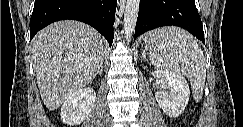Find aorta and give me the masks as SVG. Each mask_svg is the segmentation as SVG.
<instances>
[{
  "label": "aorta",
  "mask_w": 243,
  "mask_h": 127,
  "mask_svg": "<svg viewBox=\"0 0 243 127\" xmlns=\"http://www.w3.org/2000/svg\"><path fill=\"white\" fill-rule=\"evenodd\" d=\"M140 0H127L124 13V34L126 41L130 38L135 30Z\"/></svg>",
  "instance_id": "1"
}]
</instances>
